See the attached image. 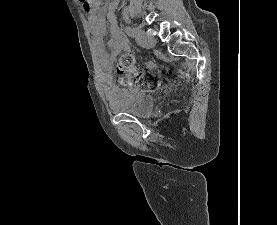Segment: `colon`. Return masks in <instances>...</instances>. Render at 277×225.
Listing matches in <instances>:
<instances>
[{"label": "colon", "mask_w": 277, "mask_h": 225, "mask_svg": "<svg viewBox=\"0 0 277 225\" xmlns=\"http://www.w3.org/2000/svg\"><path fill=\"white\" fill-rule=\"evenodd\" d=\"M134 65V57L129 54H123L118 61V72L124 74ZM157 73L151 69L139 71L132 78L133 85L144 91H154L158 87Z\"/></svg>", "instance_id": "1"}]
</instances>
